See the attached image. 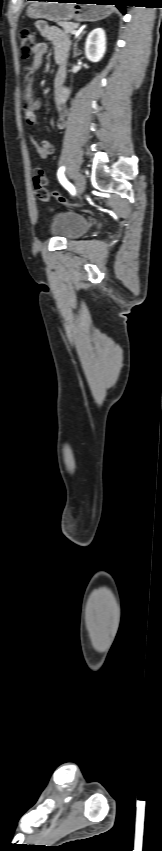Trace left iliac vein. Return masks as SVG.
<instances>
[{
  "label": "left iliac vein",
  "mask_w": 162,
  "mask_h": 851,
  "mask_svg": "<svg viewBox=\"0 0 162 851\" xmlns=\"http://www.w3.org/2000/svg\"><path fill=\"white\" fill-rule=\"evenodd\" d=\"M86 180L82 173H77L75 177V188L79 194L85 190Z\"/></svg>",
  "instance_id": "4c4485c4"
}]
</instances>
